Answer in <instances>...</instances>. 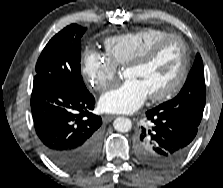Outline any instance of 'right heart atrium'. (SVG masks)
I'll list each match as a JSON object with an SVG mask.
<instances>
[{
    "instance_id": "obj_1",
    "label": "right heart atrium",
    "mask_w": 223,
    "mask_h": 188,
    "mask_svg": "<svg viewBox=\"0 0 223 188\" xmlns=\"http://www.w3.org/2000/svg\"><path fill=\"white\" fill-rule=\"evenodd\" d=\"M81 71L88 85L97 92L105 91L118 74V68L111 58L95 51L85 52Z\"/></svg>"
}]
</instances>
